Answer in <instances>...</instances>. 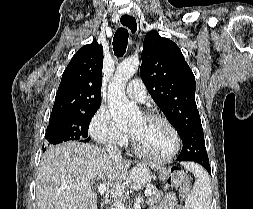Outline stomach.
Masks as SVG:
<instances>
[{
  "mask_svg": "<svg viewBox=\"0 0 253 209\" xmlns=\"http://www.w3.org/2000/svg\"><path fill=\"white\" fill-rule=\"evenodd\" d=\"M167 179H169V174L167 171H164V168H161L158 176V182H167Z\"/></svg>",
  "mask_w": 253,
  "mask_h": 209,
  "instance_id": "1",
  "label": "stomach"
}]
</instances>
